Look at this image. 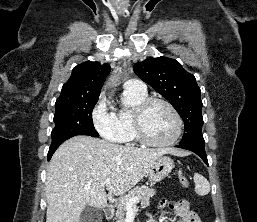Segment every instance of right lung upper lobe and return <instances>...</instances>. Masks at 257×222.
<instances>
[{"mask_svg": "<svg viewBox=\"0 0 257 222\" xmlns=\"http://www.w3.org/2000/svg\"><path fill=\"white\" fill-rule=\"evenodd\" d=\"M110 70L109 64H100L97 61L77 65L73 68L69 80L63 85L57 101L99 95Z\"/></svg>", "mask_w": 257, "mask_h": 222, "instance_id": "cb5924a9", "label": "right lung upper lobe"}]
</instances>
